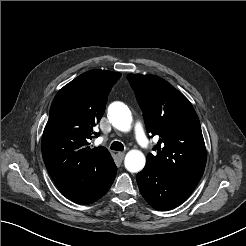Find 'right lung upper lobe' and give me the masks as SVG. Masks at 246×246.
<instances>
[{
  "mask_svg": "<svg viewBox=\"0 0 246 246\" xmlns=\"http://www.w3.org/2000/svg\"><path fill=\"white\" fill-rule=\"evenodd\" d=\"M118 72L87 71L59 90L42 137L45 166L54 181L80 175L90 169L115 165L104 147L91 149L88 141L99 134V123Z\"/></svg>",
  "mask_w": 246,
  "mask_h": 246,
  "instance_id": "cb5924a9",
  "label": "right lung upper lobe"
}]
</instances>
